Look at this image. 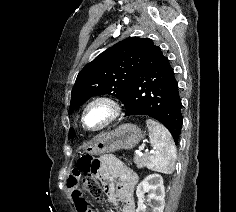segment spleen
Masks as SVG:
<instances>
[{"mask_svg": "<svg viewBox=\"0 0 236 212\" xmlns=\"http://www.w3.org/2000/svg\"><path fill=\"white\" fill-rule=\"evenodd\" d=\"M149 138L153 147V154L149 156L147 168L171 174L174 171L176 160V147L172 135L166 127L153 119H147Z\"/></svg>", "mask_w": 236, "mask_h": 212, "instance_id": "obj_1", "label": "spleen"}]
</instances>
